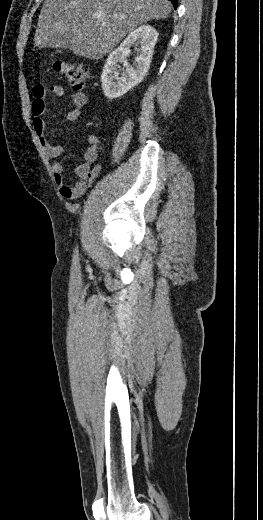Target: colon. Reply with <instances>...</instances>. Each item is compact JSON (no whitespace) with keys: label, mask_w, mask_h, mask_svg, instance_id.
Instances as JSON below:
<instances>
[{"label":"colon","mask_w":263,"mask_h":520,"mask_svg":"<svg viewBox=\"0 0 263 520\" xmlns=\"http://www.w3.org/2000/svg\"><path fill=\"white\" fill-rule=\"evenodd\" d=\"M48 63L60 73L74 90H81L89 77V68L83 63H73L67 60H49Z\"/></svg>","instance_id":"5ec220e1"}]
</instances>
